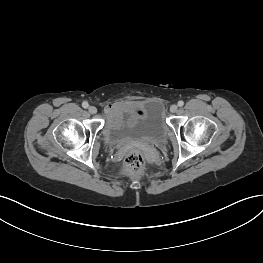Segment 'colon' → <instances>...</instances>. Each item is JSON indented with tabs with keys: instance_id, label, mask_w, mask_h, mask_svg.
Wrapping results in <instances>:
<instances>
[{
	"instance_id": "5ec220e1",
	"label": "colon",
	"mask_w": 263,
	"mask_h": 263,
	"mask_svg": "<svg viewBox=\"0 0 263 263\" xmlns=\"http://www.w3.org/2000/svg\"><path fill=\"white\" fill-rule=\"evenodd\" d=\"M144 163V153L138 148H132L123 160L121 171L128 175H137L140 173Z\"/></svg>"
}]
</instances>
